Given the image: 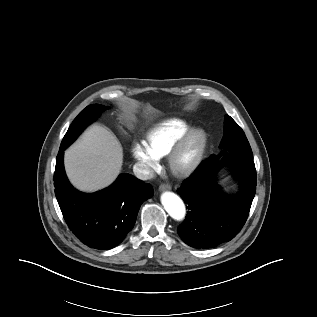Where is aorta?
Returning <instances> with one entry per match:
<instances>
[{
    "label": "aorta",
    "instance_id": "762f6f07",
    "mask_svg": "<svg viewBox=\"0 0 317 317\" xmlns=\"http://www.w3.org/2000/svg\"><path fill=\"white\" fill-rule=\"evenodd\" d=\"M161 203L166 212L176 221H182L186 215V208L179 196L173 192H165L161 196Z\"/></svg>",
    "mask_w": 317,
    "mask_h": 317
}]
</instances>
